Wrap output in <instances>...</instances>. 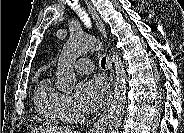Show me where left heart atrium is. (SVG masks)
<instances>
[{"label": "left heart atrium", "instance_id": "1", "mask_svg": "<svg viewBox=\"0 0 184 133\" xmlns=\"http://www.w3.org/2000/svg\"><path fill=\"white\" fill-rule=\"evenodd\" d=\"M74 97L76 105L80 110L86 113H93L106 103L109 91L102 79L91 78L79 83Z\"/></svg>", "mask_w": 184, "mask_h": 133}]
</instances>
